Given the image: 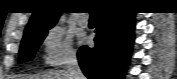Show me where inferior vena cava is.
<instances>
[{
	"label": "inferior vena cava",
	"mask_w": 177,
	"mask_h": 79,
	"mask_svg": "<svg viewBox=\"0 0 177 79\" xmlns=\"http://www.w3.org/2000/svg\"><path fill=\"white\" fill-rule=\"evenodd\" d=\"M66 71L69 79H85L77 60L75 53H71L68 56Z\"/></svg>",
	"instance_id": "1"
}]
</instances>
